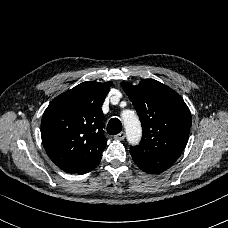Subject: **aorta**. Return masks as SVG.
<instances>
[{"label":"aorta","mask_w":228,"mask_h":228,"mask_svg":"<svg viewBox=\"0 0 228 228\" xmlns=\"http://www.w3.org/2000/svg\"><path fill=\"white\" fill-rule=\"evenodd\" d=\"M127 134V142L131 146H136L142 139V126L137 113L132 109H124L120 112Z\"/></svg>","instance_id":"obj_1"}]
</instances>
